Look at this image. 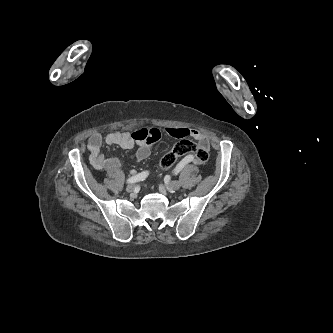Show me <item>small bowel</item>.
<instances>
[{"instance_id": "c3829d8e", "label": "small bowel", "mask_w": 333, "mask_h": 333, "mask_svg": "<svg viewBox=\"0 0 333 333\" xmlns=\"http://www.w3.org/2000/svg\"><path fill=\"white\" fill-rule=\"evenodd\" d=\"M164 132L174 138L192 137L200 147L207 150L210 147L208 137L195 129L167 127ZM160 137L161 131L156 128H143L132 133L112 132L107 134L105 138L100 133H93L87 143V148L90 151V163L96 170L114 173L119 167V162L115 157H108L101 151L103 142L108 145H117L123 149H132L137 146L136 160L142 162L150 156L151 144ZM183 161L185 164L195 162L192 155L187 156Z\"/></svg>"}]
</instances>
